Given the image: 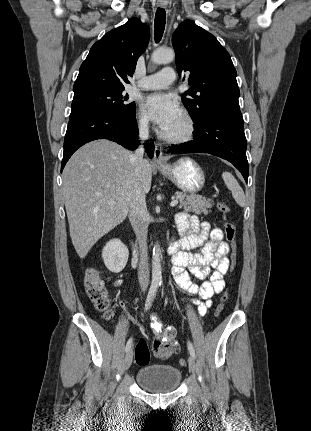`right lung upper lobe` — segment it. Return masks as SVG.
Listing matches in <instances>:
<instances>
[{"mask_svg": "<svg viewBox=\"0 0 311 431\" xmlns=\"http://www.w3.org/2000/svg\"><path fill=\"white\" fill-rule=\"evenodd\" d=\"M150 31L146 24L132 18L107 32L90 49L79 69L74 93L85 90H124L133 76L136 61L145 51Z\"/></svg>", "mask_w": 311, "mask_h": 431, "instance_id": "1", "label": "right lung upper lobe"}]
</instances>
